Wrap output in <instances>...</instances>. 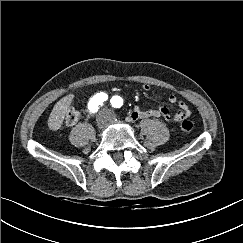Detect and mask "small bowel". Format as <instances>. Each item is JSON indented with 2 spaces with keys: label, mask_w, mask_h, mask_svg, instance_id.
I'll use <instances>...</instances> for the list:
<instances>
[{
  "label": "small bowel",
  "mask_w": 243,
  "mask_h": 243,
  "mask_svg": "<svg viewBox=\"0 0 243 243\" xmlns=\"http://www.w3.org/2000/svg\"><path fill=\"white\" fill-rule=\"evenodd\" d=\"M142 88L144 91H149L151 89V86L149 84H143ZM168 101L172 104H177L180 110L175 114H170L168 109L163 106H159L156 108H142L136 106L130 114L129 119L136 120L138 118L162 116L165 118L166 121L170 123H177L182 122L183 120H186L190 117L191 111L185 102L179 101L177 97L172 93L168 95Z\"/></svg>",
  "instance_id": "1"
}]
</instances>
